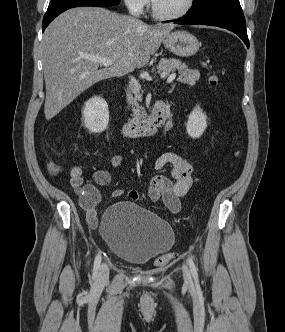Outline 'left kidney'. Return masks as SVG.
Masks as SVG:
<instances>
[{
  "mask_svg": "<svg viewBox=\"0 0 285 332\" xmlns=\"http://www.w3.org/2000/svg\"><path fill=\"white\" fill-rule=\"evenodd\" d=\"M207 127V116L197 106L189 115L186 130L191 138H200Z\"/></svg>",
  "mask_w": 285,
  "mask_h": 332,
  "instance_id": "5707ae66",
  "label": "left kidney"
}]
</instances>
